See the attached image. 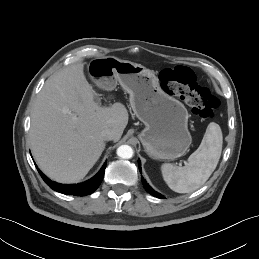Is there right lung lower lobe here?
<instances>
[{"mask_svg": "<svg viewBox=\"0 0 259 259\" xmlns=\"http://www.w3.org/2000/svg\"><path fill=\"white\" fill-rule=\"evenodd\" d=\"M39 174L41 175L42 179L45 181V183L54 191H57L62 194L67 195H75V196H84L93 193L101 184L104 172L106 168V162L100 169V171L90 180L80 183V184H60L57 182H54L50 180L47 176H45L36 166Z\"/></svg>", "mask_w": 259, "mask_h": 259, "instance_id": "98d812e1", "label": "right lung lower lobe"}]
</instances>
